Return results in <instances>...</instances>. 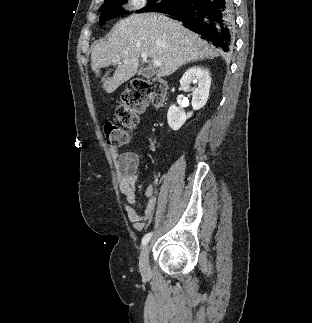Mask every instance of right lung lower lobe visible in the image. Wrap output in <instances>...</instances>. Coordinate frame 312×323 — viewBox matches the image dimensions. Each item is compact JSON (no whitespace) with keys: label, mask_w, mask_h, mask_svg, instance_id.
I'll list each match as a JSON object with an SVG mask.
<instances>
[{"label":"right lung lower lobe","mask_w":312,"mask_h":323,"mask_svg":"<svg viewBox=\"0 0 312 323\" xmlns=\"http://www.w3.org/2000/svg\"><path fill=\"white\" fill-rule=\"evenodd\" d=\"M234 3L232 0H181L173 7L163 9L191 31L224 52L234 46Z\"/></svg>","instance_id":"1"}]
</instances>
